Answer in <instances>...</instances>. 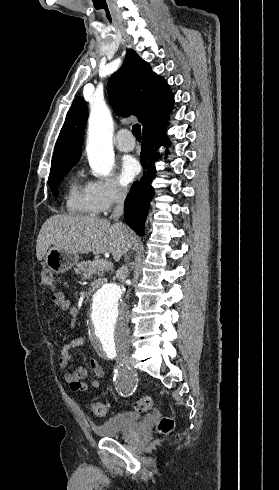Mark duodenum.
I'll list each match as a JSON object with an SVG mask.
<instances>
[{"label":"duodenum","instance_id":"1","mask_svg":"<svg viewBox=\"0 0 279 490\" xmlns=\"http://www.w3.org/2000/svg\"><path fill=\"white\" fill-rule=\"evenodd\" d=\"M102 284H103V280L101 279L93 281L87 291V295H91L93 292L99 289L102 286Z\"/></svg>","mask_w":279,"mask_h":490}]
</instances>
